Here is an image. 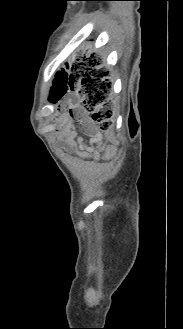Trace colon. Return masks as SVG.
Returning <instances> with one entry per match:
<instances>
[{"label":"colon","mask_w":183,"mask_h":329,"mask_svg":"<svg viewBox=\"0 0 183 329\" xmlns=\"http://www.w3.org/2000/svg\"><path fill=\"white\" fill-rule=\"evenodd\" d=\"M85 53H78L75 61H60L59 73L62 81H51L48 93L50 103H63L64 109H87L93 113V119L100 128L107 131L112 126L110 106L107 105L110 81L102 79L98 73H113V66H101L98 55L90 56V63ZM111 61V56H105ZM96 68V69H94Z\"/></svg>","instance_id":"obj_1"}]
</instances>
